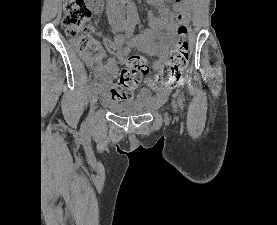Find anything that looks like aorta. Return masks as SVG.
<instances>
[{
  "mask_svg": "<svg viewBox=\"0 0 277 225\" xmlns=\"http://www.w3.org/2000/svg\"><path fill=\"white\" fill-rule=\"evenodd\" d=\"M126 11H127V18L129 21L137 18L138 14L133 2L128 3Z\"/></svg>",
  "mask_w": 277,
  "mask_h": 225,
  "instance_id": "1",
  "label": "aorta"
}]
</instances>
